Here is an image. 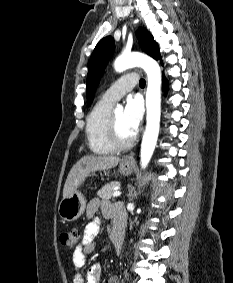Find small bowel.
<instances>
[{
  "label": "small bowel",
  "mask_w": 233,
  "mask_h": 283,
  "mask_svg": "<svg viewBox=\"0 0 233 283\" xmlns=\"http://www.w3.org/2000/svg\"><path fill=\"white\" fill-rule=\"evenodd\" d=\"M101 211L106 218H114L116 225L122 223L124 225V217L118 213L116 207L109 203L102 201L98 198L92 199L86 209L87 218L90 220L85 226L82 240L73 252V265L79 271L86 263V256L92 253L96 247V237L100 232V221L93 219L98 211ZM102 275L101 265L98 263L93 264L88 271L87 277L84 278L80 273H77L72 280V283H100ZM108 283H119L116 276H111Z\"/></svg>",
  "instance_id": "1"
}]
</instances>
